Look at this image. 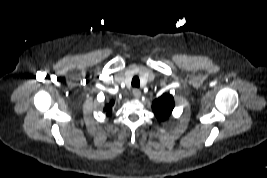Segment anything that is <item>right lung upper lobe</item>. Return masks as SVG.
<instances>
[{"label":"right lung upper lobe","mask_w":267,"mask_h":178,"mask_svg":"<svg viewBox=\"0 0 267 178\" xmlns=\"http://www.w3.org/2000/svg\"><path fill=\"white\" fill-rule=\"evenodd\" d=\"M113 104H114V102L111 101V102H110L109 104H107V106L105 107V110L107 111V115H110V114H111V111H112L111 107H112Z\"/></svg>","instance_id":"obj_1"}]
</instances>
